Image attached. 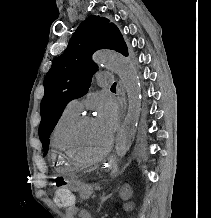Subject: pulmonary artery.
<instances>
[{
  "label": "pulmonary artery",
  "instance_id": "obj_1",
  "mask_svg": "<svg viewBox=\"0 0 211 218\" xmlns=\"http://www.w3.org/2000/svg\"><path fill=\"white\" fill-rule=\"evenodd\" d=\"M115 75L107 74L106 72H102L97 77V82L94 83L95 87H104L105 85H114ZM70 111L79 114L82 110V101L80 98H74L69 101L66 106Z\"/></svg>",
  "mask_w": 211,
  "mask_h": 218
}]
</instances>
